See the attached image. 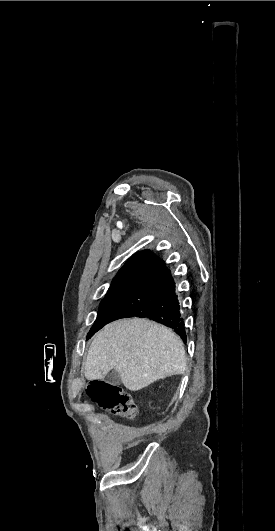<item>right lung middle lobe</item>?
Segmentation results:
<instances>
[{"label": "right lung middle lobe", "mask_w": 275, "mask_h": 531, "mask_svg": "<svg viewBox=\"0 0 275 531\" xmlns=\"http://www.w3.org/2000/svg\"><path fill=\"white\" fill-rule=\"evenodd\" d=\"M144 270H133L118 273L110 285L104 299L100 303V308L94 325L90 329L87 339H89L102 323L108 310L119 300V298L140 278Z\"/></svg>", "instance_id": "1"}]
</instances>
